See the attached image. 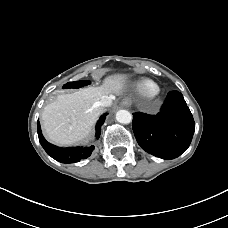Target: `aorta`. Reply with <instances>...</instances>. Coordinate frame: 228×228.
<instances>
[{
	"instance_id": "762f6f07",
	"label": "aorta",
	"mask_w": 228,
	"mask_h": 228,
	"mask_svg": "<svg viewBox=\"0 0 228 228\" xmlns=\"http://www.w3.org/2000/svg\"><path fill=\"white\" fill-rule=\"evenodd\" d=\"M116 120L121 124H129L132 121V114L127 110H119L116 113Z\"/></svg>"
}]
</instances>
